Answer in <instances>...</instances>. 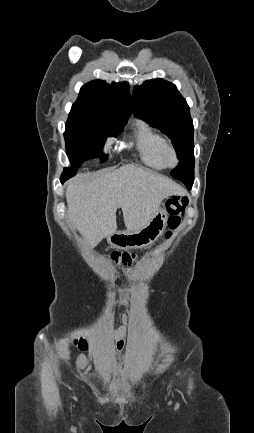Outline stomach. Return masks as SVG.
Returning a JSON list of instances; mask_svg holds the SVG:
<instances>
[{
    "label": "stomach",
    "mask_w": 254,
    "mask_h": 433,
    "mask_svg": "<svg viewBox=\"0 0 254 433\" xmlns=\"http://www.w3.org/2000/svg\"><path fill=\"white\" fill-rule=\"evenodd\" d=\"M167 225V211L160 208L141 229L118 231L108 236V243L118 249L143 248L155 242Z\"/></svg>",
    "instance_id": "0dacf381"
}]
</instances>
